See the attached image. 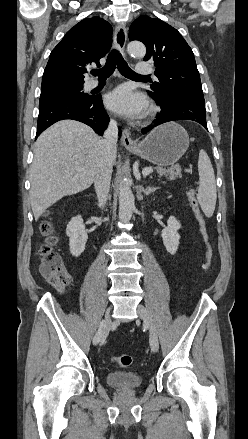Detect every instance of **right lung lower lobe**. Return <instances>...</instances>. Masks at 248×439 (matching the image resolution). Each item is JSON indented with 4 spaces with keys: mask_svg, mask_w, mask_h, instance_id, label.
Returning a JSON list of instances; mask_svg holds the SVG:
<instances>
[{
    "mask_svg": "<svg viewBox=\"0 0 248 439\" xmlns=\"http://www.w3.org/2000/svg\"><path fill=\"white\" fill-rule=\"evenodd\" d=\"M63 119L83 122L99 135L103 134L109 123L101 97L92 96L88 100L73 99L39 110L36 138L49 126Z\"/></svg>",
    "mask_w": 248,
    "mask_h": 439,
    "instance_id": "98d812e1",
    "label": "right lung lower lobe"
}]
</instances>
